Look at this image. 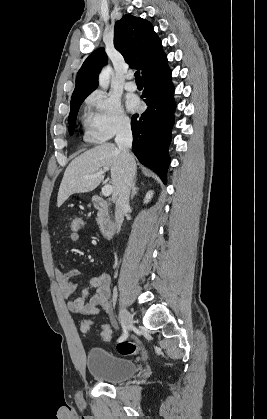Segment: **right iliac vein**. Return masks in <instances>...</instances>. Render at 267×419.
Listing matches in <instances>:
<instances>
[{
	"mask_svg": "<svg viewBox=\"0 0 267 419\" xmlns=\"http://www.w3.org/2000/svg\"><path fill=\"white\" fill-rule=\"evenodd\" d=\"M119 311H120V318L123 325L125 326L127 330H130L134 324L131 314L124 306H120Z\"/></svg>",
	"mask_w": 267,
	"mask_h": 419,
	"instance_id": "right-iliac-vein-1",
	"label": "right iliac vein"
}]
</instances>
